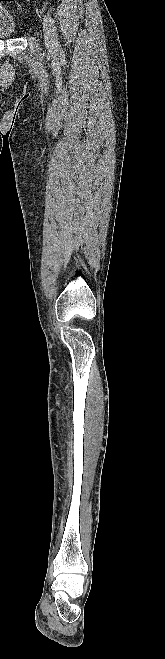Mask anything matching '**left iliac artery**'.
<instances>
[{"label":"left iliac artery","instance_id":"44dca946","mask_svg":"<svg viewBox=\"0 0 165 659\" xmlns=\"http://www.w3.org/2000/svg\"><path fill=\"white\" fill-rule=\"evenodd\" d=\"M45 21H47L48 24H49V27H50V30H51L52 36H53V38H54V43H55L56 45H59V41H58V39H57V35H56L55 21H54L53 17H52L51 15L47 14V15L45 16Z\"/></svg>","mask_w":165,"mask_h":659}]
</instances>
